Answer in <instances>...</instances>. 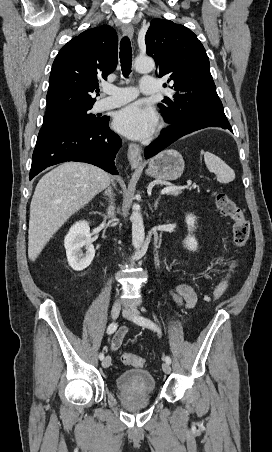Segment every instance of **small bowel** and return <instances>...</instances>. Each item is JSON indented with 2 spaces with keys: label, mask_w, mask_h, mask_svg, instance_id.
Listing matches in <instances>:
<instances>
[{
  "label": "small bowel",
  "mask_w": 272,
  "mask_h": 452,
  "mask_svg": "<svg viewBox=\"0 0 272 452\" xmlns=\"http://www.w3.org/2000/svg\"><path fill=\"white\" fill-rule=\"evenodd\" d=\"M171 296L178 304L190 308L195 305L197 297L194 290L185 284L177 285L172 291ZM127 327L119 328L110 342V350L117 351L123 343L124 337L128 334Z\"/></svg>",
  "instance_id": "small-bowel-1"
}]
</instances>
